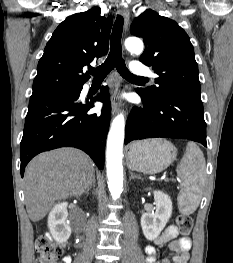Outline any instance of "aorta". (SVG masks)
<instances>
[{
	"label": "aorta",
	"mask_w": 233,
	"mask_h": 263,
	"mask_svg": "<svg viewBox=\"0 0 233 263\" xmlns=\"http://www.w3.org/2000/svg\"><path fill=\"white\" fill-rule=\"evenodd\" d=\"M128 51L141 54L143 43L136 37H129L125 41ZM125 119L123 114L117 115L112 121L107 138V176L108 188L114 200L118 199L123 191V143H124Z\"/></svg>",
	"instance_id": "762f6f07"
}]
</instances>
